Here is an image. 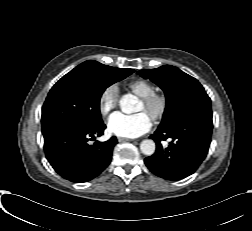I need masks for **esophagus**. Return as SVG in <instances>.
<instances>
[{
	"instance_id": "1",
	"label": "esophagus",
	"mask_w": 252,
	"mask_h": 231,
	"mask_svg": "<svg viewBox=\"0 0 252 231\" xmlns=\"http://www.w3.org/2000/svg\"><path fill=\"white\" fill-rule=\"evenodd\" d=\"M119 142H125V141H134L133 139H128V138H123V137H118Z\"/></svg>"
}]
</instances>
